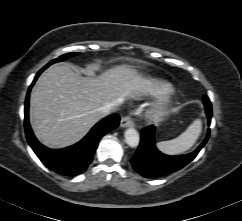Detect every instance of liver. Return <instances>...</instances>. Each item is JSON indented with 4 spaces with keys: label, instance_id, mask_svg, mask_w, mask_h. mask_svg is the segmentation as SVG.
Masks as SVG:
<instances>
[{
    "label": "liver",
    "instance_id": "1",
    "mask_svg": "<svg viewBox=\"0 0 242 221\" xmlns=\"http://www.w3.org/2000/svg\"><path fill=\"white\" fill-rule=\"evenodd\" d=\"M145 83L135 68L125 64L90 77L66 65L51 67L40 75L31 92L34 134L50 148L73 145L103 118L101 106L134 98Z\"/></svg>",
    "mask_w": 242,
    "mask_h": 221
}]
</instances>
